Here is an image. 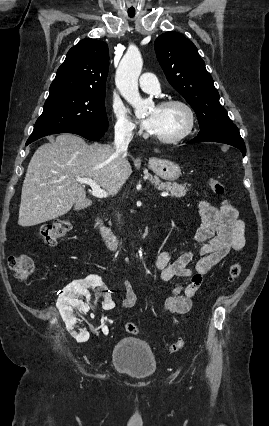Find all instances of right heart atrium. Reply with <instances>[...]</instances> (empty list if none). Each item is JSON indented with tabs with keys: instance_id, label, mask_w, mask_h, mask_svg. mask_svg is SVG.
I'll return each mask as SVG.
<instances>
[{
	"instance_id": "1",
	"label": "right heart atrium",
	"mask_w": 269,
	"mask_h": 426,
	"mask_svg": "<svg viewBox=\"0 0 269 426\" xmlns=\"http://www.w3.org/2000/svg\"><path fill=\"white\" fill-rule=\"evenodd\" d=\"M114 128L118 136L130 138L138 134L136 124L130 119L127 111L120 105L113 106Z\"/></svg>"
}]
</instances>
